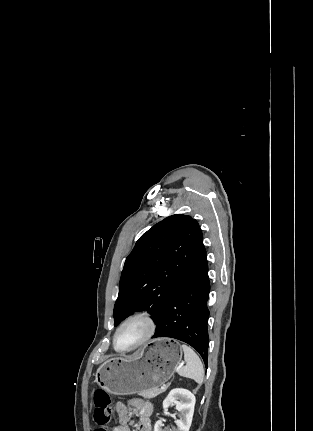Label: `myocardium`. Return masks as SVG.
Segmentation results:
<instances>
[{
    "instance_id": "myocardium-1",
    "label": "myocardium",
    "mask_w": 313,
    "mask_h": 431,
    "mask_svg": "<svg viewBox=\"0 0 313 431\" xmlns=\"http://www.w3.org/2000/svg\"><path fill=\"white\" fill-rule=\"evenodd\" d=\"M136 320H141L144 321L147 325V332L145 334V336L135 345H133L130 348H126V349H122L119 348L117 345V336L120 332V330L128 323L132 322V321H136ZM157 331V322L154 318V316L148 312V311H137L133 314H131L130 316H128L116 329L115 334L113 336V346L114 348L119 351V352H130L133 350H136L142 346H144L145 344H147L155 335Z\"/></svg>"
}]
</instances>
